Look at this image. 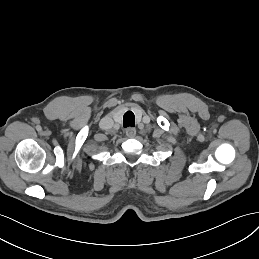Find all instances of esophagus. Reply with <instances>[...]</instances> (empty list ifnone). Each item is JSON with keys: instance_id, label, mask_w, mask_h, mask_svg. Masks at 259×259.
Wrapping results in <instances>:
<instances>
[{"instance_id": "34e87169", "label": "esophagus", "mask_w": 259, "mask_h": 259, "mask_svg": "<svg viewBox=\"0 0 259 259\" xmlns=\"http://www.w3.org/2000/svg\"><path fill=\"white\" fill-rule=\"evenodd\" d=\"M126 135H127V137H129V138L135 137V135H136V129L133 128V127L127 128V129H126Z\"/></svg>"}]
</instances>
